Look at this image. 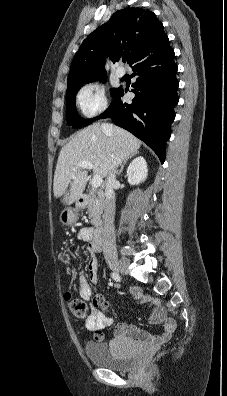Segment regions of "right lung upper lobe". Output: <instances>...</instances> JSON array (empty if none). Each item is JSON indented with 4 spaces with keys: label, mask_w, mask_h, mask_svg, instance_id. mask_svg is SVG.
I'll list each match as a JSON object with an SVG mask.
<instances>
[{
    "label": "right lung upper lobe",
    "mask_w": 227,
    "mask_h": 396,
    "mask_svg": "<svg viewBox=\"0 0 227 396\" xmlns=\"http://www.w3.org/2000/svg\"><path fill=\"white\" fill-rule=\"evenodd\" d=\"M168 41L153 12L133 7L119 10L82 42L72 61L67 90L82 81L106 75L107 55L113 61L127 55L131 65L144 52Z\"/></svg>",
    "instance_id": "obj_1"
}]
</instances>
